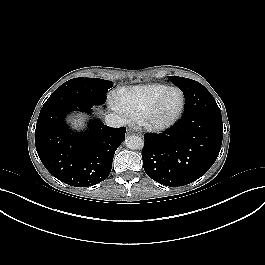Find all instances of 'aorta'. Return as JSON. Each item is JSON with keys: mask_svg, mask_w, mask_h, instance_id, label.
Segmentation results:
<instances>
[{"mask_svg": "<svg viewBox=\"0 0 265 265\" xmlns=\"http://www.w3.org/2000/svg\"><path fill=\"white\" fill-rule=\"evenodd\" d=\"M127 148L131 150H141L144 147V140L139 136H128L125 139Z\"/></svg>", "mask_w": 265, "mask_h": 265, "instance_id": "762f6f07", "label": "aorta"}]
</instances>
